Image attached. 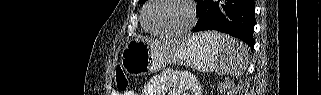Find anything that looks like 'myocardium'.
Instances as JSON below:
<instances>
[{
    "instance_id": "myocardium-1",
    "label": "myocardium",
    "mask_w": 321,
    "mask_h": 95,
    "mask_svg": "<svg viewBox=\"0 0 321 95\" xmlns=\"http://www.w3.org/2000/svg\"><path fill=\"white\" fill-rule=\"evenodd\" d=\"M157 1L158 0H149L143 10L142 23L146 31H148L150 34L155 36L170 37V36H181L188 33L191 30L192 26L195 24V21H196V8L192 0H180L186 5L188 9V22L184 28L175 30V31H169V32H158L150 28L147 22V14L150 7Z\"/></svg>"
}]
</instances>
